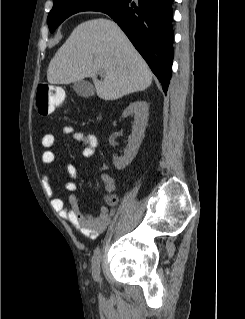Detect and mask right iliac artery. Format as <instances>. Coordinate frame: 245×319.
I'll list each match as a JSON object with an SVG mask.
<instances>
[{
	"label": "right iliac artery",
	"mask_w": 245,
	"mask_h": 319,
	"mask_svg": "<svg viewBox=\"0 0 245 319\" xmlns=\"http://www.w3.org/2000/svg\"><path fill=\"white\" fill-rule=\"evenodd\" d=\"M92 270L94 279L99 281L100 280V250L97 248L94 251V256L92 260Z\"/></svg>",
	"instance_id": "82829eb1"
}]
</instances>
